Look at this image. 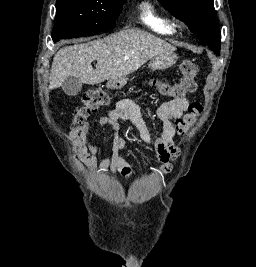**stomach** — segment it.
<instances>
[{
  "mask_svg": "<svg viewBox=\"0 0 256 267\" xmlns=\"http://www.w3.org/2000/svg\"><path fill=\"white\" fill-rule=\"evenodd\" d=\"M177 62V56L174 52H165V54H160L157 56L153 62V67L156 70H165V68H170Z\"/></svg>",
  "mask_w": 256,
  "mask_h": 267,
  "instance_id": "0dacf381",
  "label": "stomach"
}]
</instances>
